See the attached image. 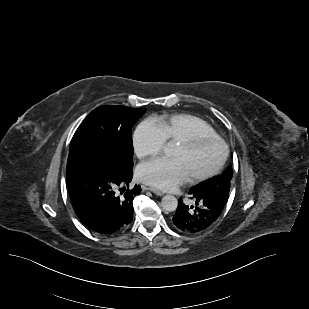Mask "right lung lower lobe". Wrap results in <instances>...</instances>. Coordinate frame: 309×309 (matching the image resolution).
I'll return each mask as SVG.
<instances>
[{"label":"right lung lower lobe","instance_id":"obj_1","mask_svg":"<svg viewBox=\"0 0 309 309\" xmlns=\"http://www.w3.org/2000/svg\"><path fill=\"white\" fill-rule=\"evenodd\" d=\"M132 167L93 152L69 155L67 187L73 208L85 226L104 235L119 232L132 221V201L141 192L140 186L128 187Z\"/></svg>","mask_w":309,"mask_h":309}]
</instances>
